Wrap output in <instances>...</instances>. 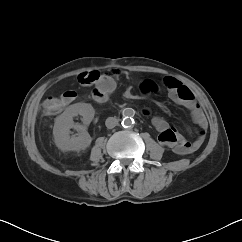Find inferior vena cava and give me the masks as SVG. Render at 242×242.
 Listing matches in <instances>:
<instances>
[{
  "label": "inferior vena cava",
  "instance_id": "obj_1",
  "mask_svg": "<svg viewBox=\"0 0 242 242\" xmlns=\"http://www.w3.org/2000/svg\"><path fill=\"white\" fill-rule=\"evenodd\" d=\"M105 125L108 129H112L118 125V119L116 117H108L105 121Z\"/></svg>",
  "mask_w": 242,
  "mask_h": 242
}]
</instances>
